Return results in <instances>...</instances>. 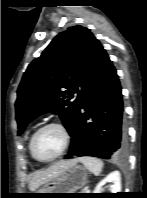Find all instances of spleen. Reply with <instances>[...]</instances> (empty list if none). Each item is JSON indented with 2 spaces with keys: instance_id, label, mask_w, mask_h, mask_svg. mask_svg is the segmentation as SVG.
Returning <instances> with one entry per match:
<instances>
[{
  "instance_id": "obj_1",
  "label": "spleen",
  "mask_w": 147,
  "mask_h": 198,
  "mask_svg": "<svg viewBox=\"0 0 147 198\" xmlns=\"http://www.w3.org/2000/svg\"><path fill=\"white\" fill-rule=\"evenodd\" d=\"M79 161L94 175L98 176L102 172L104 163L102 160L94 157H80Z\"/></svg>"
}]
</instances>
